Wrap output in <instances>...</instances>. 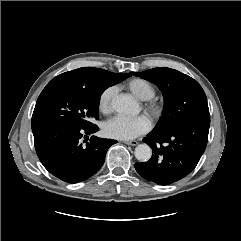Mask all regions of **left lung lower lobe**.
Returning a JSON list of instances; mask_svg holds the SVG:
<instances>
[{
	"mask_svg": "<svg viewBox=\"0 0 241 241\" xmlns=\"http://www.w3.org/2000/svg\"><path fill=\"white\" fill-rule=\"evenodd\" d=\"M210 119H201L168 132L153 130L143 139L152 148L149 161L136 163V171L146 180L169 185L194 170L208 141Z\"/></svg>",
	"mask_w": 241,
	"mask_h": 241,
	"instance_id": "0a47b994",
	"label": "left lung lower lobe"
}]
</instances>
